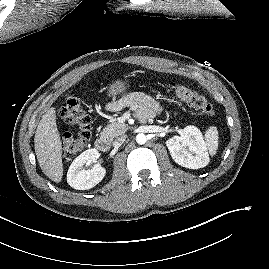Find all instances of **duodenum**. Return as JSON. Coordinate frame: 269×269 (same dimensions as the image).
Returning a JSON list of instances; mask_svg holds the SVG:
<instances>
[{"label": "duodenum", "mask_w": 269, "mask_h": 269, "mask_svg": "<svg viewBox=\"0 0 269 269\" xmlns=\"http://www.w3.org/2000/svg\"><path fill=\"white\" fill-rule=\"evenodd\" d=\"M95 148L101 152H107L110 149L109 140L106 137L100 136L95 141Z\"/></svg>", "instance_id": "1"}]
</instances>
